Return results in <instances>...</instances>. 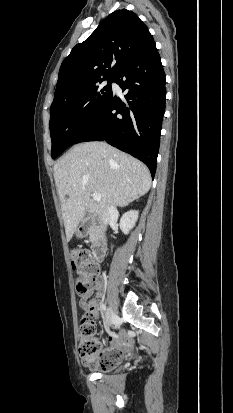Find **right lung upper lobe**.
I'll return each mask as SVG.
<instances>
[{
  "instance_id": "obj_1",
  "label": "right lung upper lobe",
  "mask_w": 233,
  "mask_h": 413,
  "mask_svg": "<svg viewBox=\"0 0 233 413\" xmlns=\"http://www.w3.org/2000/svg\"><path fill=\"white\" fill-rule=\"evenodd\" d=\"M153 42L147 26L134 12L122 9L111 13L62 62L53 102L114 78L126 62Z\"/></svg>"
}]
</instances>
